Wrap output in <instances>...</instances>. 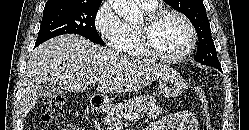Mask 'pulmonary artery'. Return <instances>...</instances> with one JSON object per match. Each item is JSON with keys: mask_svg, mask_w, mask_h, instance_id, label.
I'll use <instances>...</instances> for the list:
<instances>
[{"mask_svg": "<svg viewBox=\"0 0 249 130\" xmlns=\"http://www.w3.org/2000/svg\"><path fill=\"white\" fill-rule=\"evenodd\" d=\"M137 3L149 6V7H155L157 5V0H135Z\"/></svg>", "mask_w": 249, "mask_h": 130, "instance_id": "pulmonary-artery-1", "label": "pulmonary artery"}]
</instances>
